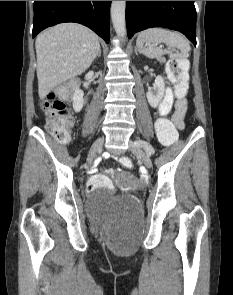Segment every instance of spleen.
<instances>
[{"instance_id": "3e777b00", "label": "spleen", "mask_w": 233, "mask_h": 295, "mask_svg": "<svg viewBox=\"0 0 233 295\" xmlns=\"http://www.w3.org/2000/svg\"><path fill=\"white\" fill-rule=\"evenodd\" d=\"M146 42H163L168 48H178L183 56H186L190 51V45L182 35L163 28H149L140 32L136 46L148 58H157L165 53H171V51L162 50L153 46L145 47L144 43Z\"/></svg>"}]
</instances>
